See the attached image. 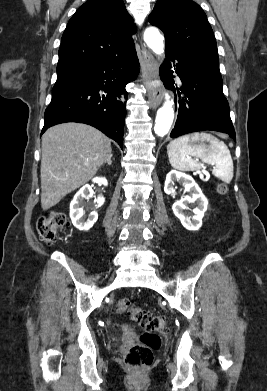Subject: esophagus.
<instances>
[{
    "mask_svg": "<svg viewBox=\"0 0 267 391\" xmlns=\"http://www.w3.org/2000/svg\"><path fill=\"white\" fill-rule=\"evenodd\" d=\"M142 61L145 68V74L148 79H153L157 75L158 65L152 54L145 48H142ZM164 90L162 88L152 89L149 93V101L152 108L159 106L163 99Z\"/></svg>",
    "mask_w": 267,
    "mask_h": 391,
    "instance_id": "1",
    "label": "esophagus"
}]
</instances>
